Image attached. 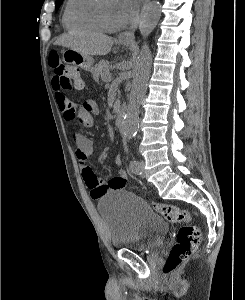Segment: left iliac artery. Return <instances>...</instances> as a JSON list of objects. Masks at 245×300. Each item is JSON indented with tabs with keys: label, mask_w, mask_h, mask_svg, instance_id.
Listing matches in <instances>:
<instances>
[{
	"label": "left iliac artery",
	"mask_w": 245,
	"mask_h": 300,
	"mask_svg": "<svg viewBox=\"0 0 245 300\" xmlns=\"http://www.w3.org/2000/svg\"><path fill=\"white\" fill-rule=\"evenodd\" d=\"M130 169L135 174H140V163L137 160L130 161Z\"/></svg>",
	"instance_id": "obj_1"
}]
</instances>
